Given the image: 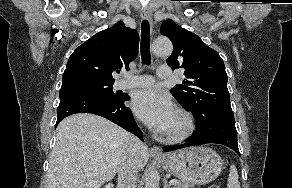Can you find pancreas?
I'll return each mask as SVG.
<instances>
[{
  "instance_id": "1",
  "label": "pancreas",
  "mask_w": 292,
  "mask_h": 188,
  "mask_svg": "<svg viewBox=\"0 0 292 188\" xmlns=\"http://www.w3.org/2000/svg\"><path fill=\"white\" fill-rule=\"evenodd\" d=\"M174 188H194V186L191 183L182 181L175 185Z\"/></svg>"
}]
</instances>
